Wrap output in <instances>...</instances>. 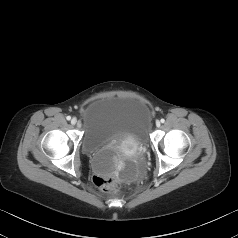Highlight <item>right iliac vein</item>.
Returning a JSON list of instances; mask_svg holds the SVG:
<instances>
[{
  "label": "right iliac vein",
  "mask_w": 238,
  "mask_h": 238,
  "mask_svg": "<svg viewBox=\"0 0 238 238\" xmlns=\"http://www.w3.org/2000/svg\"><path fill=\"white\" fill-rule=\"evenodd\" d=\"M71 124H72V125H76V124H77V119H76V118H72Z\"/></svg>",
  "instance_id": "1"
}]
</instances>
